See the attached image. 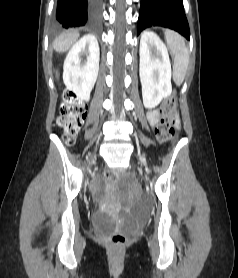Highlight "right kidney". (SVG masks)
Instances as JSON below:
<instances>
[{
    "instance_id": "ca27d5eb",
    "label": "right kidney",
    "mask_w": 238,
    "mask_h": 278,
    "mask_svg": "<svg viewBox=\"0 0 238 278\" xmlns=\"http://www.w3.org/2000/svg\"><path fill=\"white\" fill-rule=\"evenodd\" d=\"M88 50L87 62L81 66V53ZM100 50L95 36L87 35L73 45L64 61L63 81L78 98L89 101L99 71Z\"/></svg>"
}]
</instances>
